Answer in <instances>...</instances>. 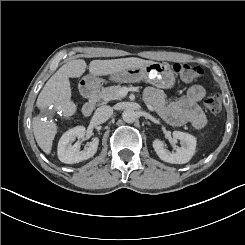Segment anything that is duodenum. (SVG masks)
Wrapping results in <instances>:
<instances>
[{
  "label": "duodenum",
  "instance_id": "410a0bca",
  "mask_svg": "<svg viewBox=\"0 0 245 245\" xmlns=\"http://www.w3.org/2000/svg\"><path fill=\"white\" fill-rule=\"evenodd\" d=\"M82 92L87 98L82 111L85 116H90L96 107V89L90 84H85L82 88Z\"/></svg>",
  "mask_w": 245,
  "mask_h": 245
}]
</instances>
